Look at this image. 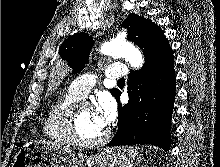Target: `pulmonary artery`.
<instances>
[{"mask_svg": "<svg viewBox=\"0 0 220 167\" xmlns=\"http://www.w3.org/2000/svg\"><path fill=\"white\" fill-rule=\"evenodd\" d=\"M128 74L127 66L124 64H111L105 69V76L108 79H120ZM96 84L92 75H81L73 80L70 91L79 98L85 97Z\"/></svg>", "mask_w": 220, "mask_h": 167, "instance_id": "e3ab8cb5", "label": "pulmonary artery"}]
</instances>
